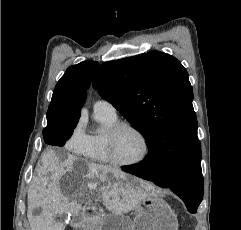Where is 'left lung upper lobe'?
I'll return each instance as SVG.
<instances>
[{
	"label": "left lung upper lobe",
	"instance_id": "left-lung-upper-lobe-1",
	"mask_svg": "<svg viewBox=\"0 0 241 230\" xmlns=\"http://www.w3.org/2000/svg\"><path fill=\"white\" fill-rule=\"evenodd\" d=\"M93 87L143 135L149 151L163 149L171 183L201 160L193 89L178 59L151 51L105 62Z\"/></svg>",
	"mask_w": 241,
	"mask_h": 230
}]
</instances>
